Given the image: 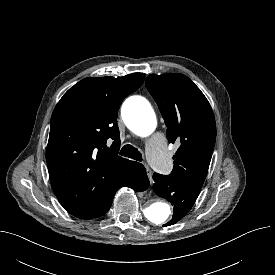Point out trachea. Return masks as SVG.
<instances>
[{
  "mask_svg": "<svg viewBox=\"0 0 275 275\" xmlns=\"http://www.w3.org/2000/svg\"><path fill=\"white\" fill-rule=\"evenodd\" d=\"M120 155L132 158L137 161H142V154L138 151L137 148L132 145H125L120 151Z\"/></svg>",
  "mask_w": 275,
  "mask_h": 275,
  "instance_id": "trachea-1",
  "label": "trachea"
}]
</instances>
